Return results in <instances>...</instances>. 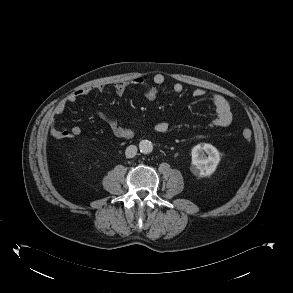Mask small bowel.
Listing matches in <instances>:
<instances>
[{
    "label": "small bowel",
    "mask_w": 293,
    "mask_h": 293,
    "mask_svg": "<svg viewBox=\"0 0 293 293\" xmlns=\"http://www.w3.org/2000/svg\"><path fill=\"white\" fill-rule=\"evenodd\" d=\"M165 84V77L157 73L152 77V81L148 82L142 77H137L130 82H116L113 85L115 93L119 96H122L129 86H136L143 89L144 96L148 100H154L158 94L160 87ZM172 90L175 93L183 92V85L179 82H175L171 86ZM93 89L97 91H104L105 86L99 84L95 87H82L75 92L69 94L63 101L59 102L49 113L48 122L52 125L55 117L62 114L65 110L67 103H74L78 98L88 95ZM206 94V91L202 88H196L193 90L192 95L196 98H201ZM212 104L215 112V118L211 122V126L215 128H226L232 122V111L229 102L222 95L214 94L212 96ZM97 116L106 122L113 133L117 138L129 139L133 136V131L130 128L124 127L118 123V121L105 113L98 112ZM155 130L158 133H166L169 130V124L165 121H160L156 123ZM81 128L79 126H74L70 131H58L54 128L51 129V134L55 138H72L79 136L81 134Z\"/></svg>",
    "instance_id": "c3829d8e"
}]
</instances>
